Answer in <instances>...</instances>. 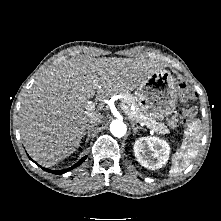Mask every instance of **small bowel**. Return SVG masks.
Here are the masks:
<instances>
[{"mask_svg":"<svg viewBox=\"0 0 221 221\" xmlns=\"http://www.w3.org/2000/svg\"><path fill=\"white\" fill-rule=\"evenodd\" d=\"M175 121H176L175 118H172V120H171V122H170V125H171V126H174V125H175Z\"/></svg>","mask_w":221,"mask_h":221,"instance_id":"c3829d8e","label":"small bowel"}]
</instances>
